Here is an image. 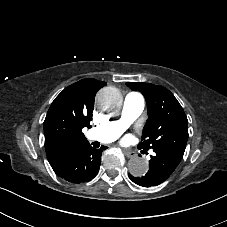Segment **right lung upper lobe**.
Wrapping results in <instances>:
<instances>
[{
  "label": "right lung upper lobe",
  "instance_id": "1",
  "mask_svg": "<svg viewBox=\"0 0 227 227\" xmlns=\"http://www.w3.org/2000/svg\"><path fill=\"white\" fill-rule=\"evenodd\" d=\"M105 85L92 78L83 79L66 87L52 102L44 121L45 149L52 168L88 143L82 129L91 127L94 98Z\"/></svg>",
  "mask_w": 227,
  "mask_h": 227
}]
</instances>
